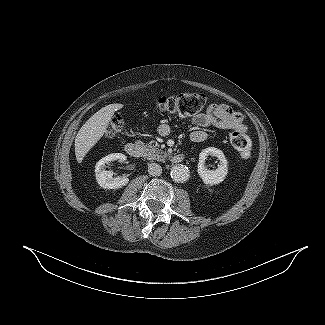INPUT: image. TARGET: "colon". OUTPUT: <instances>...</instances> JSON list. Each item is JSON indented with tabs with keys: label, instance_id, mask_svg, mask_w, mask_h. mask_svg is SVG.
I'll return each instance as SVG.
<instances>
[{
	"label": "colon",
	"instance_id": "1",
	"mask_svg": "<svg viewBox=\"0 0 325 325\" xmlns=\"http://www.w3.org/2000/svg\"><path fill=\"white\" fill-rule=\"evenodd\" d=\"M207 103L206 95L202 93H180L166 95L157 99L156 107L159 111L169 113L178 117L192 116L203 110ZM111 134L121 128L122 122L119 119L113 120ZM233 148L242 159H248L252 153L250 139L241 131H234L230 135Z\"/></svg>",
	"mask_w": 325,
	"mask_h": 325
}]
</instances>
